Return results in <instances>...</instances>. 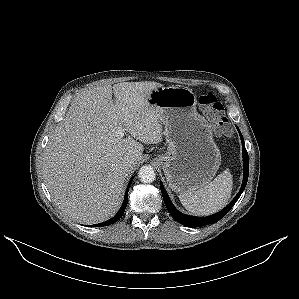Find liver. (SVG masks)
<instances>
[{"mask_svg":"<svg viewBox=\"0 0 299 299\" xmlns=\"http://www.w3.org/2000/svg\"><path fill=\"white\" fill-rule=\"evenodd\" d=\"M157 82H122L78 94L50 136L43 176L63 213L83 224L113 217L123 202L124 182L145 144L162 140V122L149 104ZM114 93L115 103L112 95ZM122 127L130 136L117 133ZM126 156L132 158L123 166Z\"/></svg>","mask_w":299,"mask_h":299,"instance_id":"obj_1","label":"liver"}]
</instances>
